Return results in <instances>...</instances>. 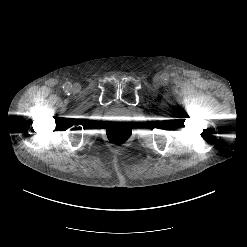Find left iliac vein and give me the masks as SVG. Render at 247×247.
I'll return each instance as SVG.
<instances>
[{
  "label": "left iliac vein",
  "mask_w": 247,
  "mask_h": 247,
  "mask_svg": "<svg viewBox=\"0 0 247 247\" xmlns=\"http://www.w3.org/2000/svg\"><path fill=\"white\" fill-rule=\"evenodd\" d=\"M153 82H154L155 86H159L161 84V82H162V79H161L160 76L157 75V76L154 77Z\"/></svg>",
  "instance_id": "1"
}]
</instances>
